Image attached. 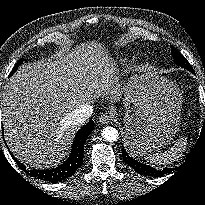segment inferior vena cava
Returning <instances> with one entry per match:
<instances>
[{"mask_svg": "<svg viewBox=\"0 0 205 205\" xmlns=\"http://www.w3.org/2000/svg\"><path fill=\"white\" fill-rule=\"evenodd\" d=\"M93 112V106L90 104H81L75 108L67 117L70 126L86 121Z\"/></svg>", "mask_w": 205, "mask_h": 205, "instance_id": "inferior-vena-cava-1", "label": "inferior vena cava"}]
</instances>
